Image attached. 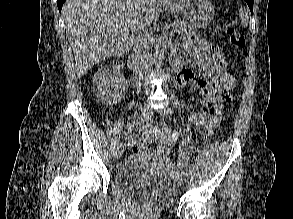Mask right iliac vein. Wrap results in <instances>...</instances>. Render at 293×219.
Here are the masks:
<instances>
[{"mask_svg":"<svg viewBox=\"0 0 293 219\" xmlns=\"http://www.w3.org/2000/svg\"><path fill=\"white\" fill-rule=\"evenodd\" d=\"M153 114V110L151 108L150 105H146L142 111V114H141V121H145L149 118H151ZM123 151V147L122 146H118L115 150H114V158L117 159L118 157H120L121 153Z\"/></svg>","mask_w":293,"mask_h":219,"instance_id":"right-iliac-vein-1","label":"right iliac vein"}]
</instances>
